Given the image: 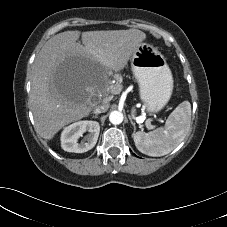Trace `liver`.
<instances>
[{
	"label": "liver",
	"instance_id": "obj_1",
	"mask_svg": "<svg viewBox=\"0 0 227 227\" xmlns=\"http://www.w3.org/2000/svg\"><path fill=\"white\" fill-rule=\"evenodd\" d=\"M80 35L83 45L77 42ZM145 39L146 34L138 29L65 31L50 38L32 66L30 103L36 132L50 140L64 126L88 116L94 93L107 96L110 92L94 77L95 64L121 71ZM68 54L82 57L89 68L88 87L75 98L61 95L54 84L55 65Z\"/></svg>",
	"mask_w": 227,
	"mask_h": 227
}]
</instances>
